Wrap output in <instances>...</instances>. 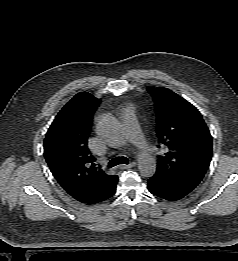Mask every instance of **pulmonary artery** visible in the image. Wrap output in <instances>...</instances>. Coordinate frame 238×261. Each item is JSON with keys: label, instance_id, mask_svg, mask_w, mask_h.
I'll return each instance as SVG.
<instances>
[{"label": "pulmonary artery", "instance_id": "pulmonary-artery-1", "mask_svg": "<svg viewBox=\"0 0 238 261\" xmlns=\"http://www.w3.org/2000/svg\"><path fill=\"white\" fill-rule=\"evenodd\" d=\"M121 117L126 139L142 151L152 150L141 131L134 110L125 109Z\"/></svg>", "mask_w": 238, "mask_h": 261}]
</instances>
